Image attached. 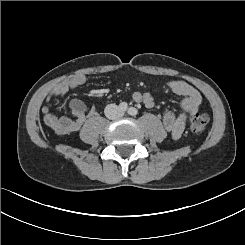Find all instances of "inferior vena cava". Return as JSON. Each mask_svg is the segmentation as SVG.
<instances>
[{"label":"inferior vena cava","mask_w":245,"mask_h":245,"mask_svg":"<svg viewBox=\"0 0 245 245\" xmlns=\"http://www.w3.org/2000/svg\"><path fill=\"white\" fill-rule=\"evenodd\" d=\"M105 115L108 119H117L120 115L118 106L115 104H109L105 108Z\"/></svg>","instance_id":"602c4592"}]
</instances>
